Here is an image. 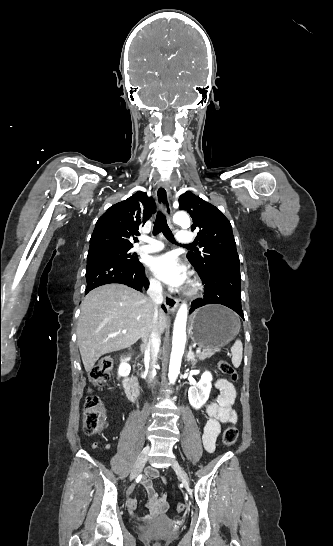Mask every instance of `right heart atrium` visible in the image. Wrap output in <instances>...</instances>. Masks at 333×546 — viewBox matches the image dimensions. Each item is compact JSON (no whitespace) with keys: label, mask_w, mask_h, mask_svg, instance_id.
<instances>
[{"label":"right heart atrium","mask_w":333,"mask_h":546,"mask_svg":"<svg viewBox=\"0 0 333 546\" xmlns=\"http://www.w3.org/2000/svg\"><path fill=\"white\" fill-rule=\"evenodd\" d=\"M149 282H150L151 287H153V288H159V286H160L159 282L154 278H150Z\"/></svg>","instance_id":"1"}]
</instances>
